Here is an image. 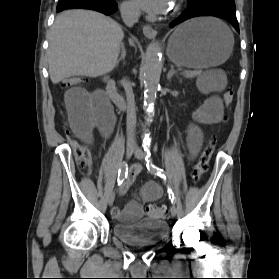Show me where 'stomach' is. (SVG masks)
Instances as JSON below:
<instances>
[{
  "label": "stomach",
  "mask_w": 279,
  "mask_h": 279,
  "mask_svg": "<svg viewBox=\"0 0 279 279\" xmlns=\"http://www.w3.org/2000/svg\"><path fill=\"white\" fill-rule=\"evenodd\" d=\"M234 38L220 21L197 18L180 25L168 42L169 59L180 66L205 69L224 63L230 56Z\"/></svg>",
  "instance_id": "stomach-1"
}]
</instances>
